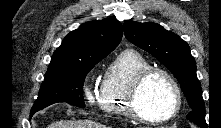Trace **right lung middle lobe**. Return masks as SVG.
<instances>
[{"mask_svg":"<svg viewBox=\"0 0 221 128\" xmlns=\"http://www.w3.org/2000/svg\"><path fill=\"white\" fill-rule=\"evenodd\" d=\"M101 60L102 58L81 65L47 71L30 116L58 102H65L84 108V79L89 71Z\"/></svg>","mask_w":221,"mask_h":128,"instance_id":"obj_1","label":"right lung middle lobe"}]
</instances>
